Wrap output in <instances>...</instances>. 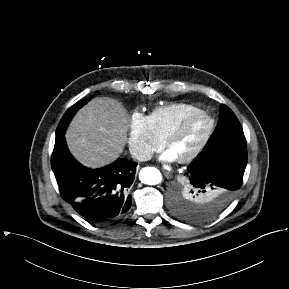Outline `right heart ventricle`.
<instances>
[{
    "label": "right heart ventricle",
    "instance_id": "e07e8e85",
    "mask_svg": "<svg viewBox=\"0 0 289 289\" xmlns=\"http://www.w3.org/2000/svg\"><path fill=\"white\" fill-rule=\"evenodd\" d=\"M198 110L194 104L171 103L154 108L148 117L155 134L164 140L184 117Z\"/></svg>",
    "mask_w": 289,
    "mask_h": 289
}]
</instances>
